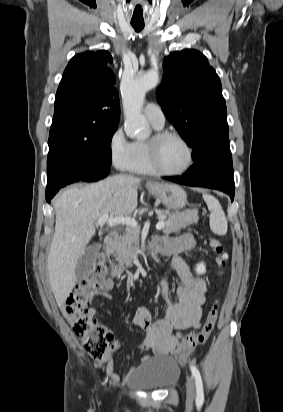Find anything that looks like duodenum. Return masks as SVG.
I'll use <instances>...</instances> for the list:
<instances>
[{"label":"duodenum","mask_w":283,"mask_h":412,"mask_svg":"<svg viewBox=\"0 0 283 412\" xmlns=\"http://www.w3.org/2000/svg\"><path fill=\"white\" fill-rule=\"evenodd\" d=\"M118 237H119V232L117 230H112L111 232H109V234L105 238L104 246H103V255L106 258H111L114 252V248H115ZM171 251H172L171 246H167V245L160 246V245L155 244L154 241L147 250L148 253L150 252L170 253ZM121 272H122L121 267H117L115 265L111 266L110 273L112 276H118L119 274H121Z\"/></svg>","instance_id":"410a0bca"}]
</instances>
